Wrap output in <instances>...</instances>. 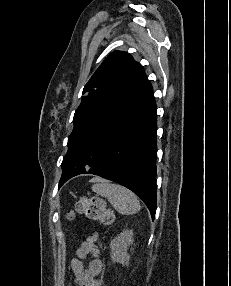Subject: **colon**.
I'll return each instance as SVG.
<instances>
[{
	"mask_svg": "<svg viewBox=\"0 0 231 286\" xmlns=\"http://www.w3.org/2000/svg\"><path fill=\"white\" fill-rule=\"evenodd\" d=\"M76 213L105 225L114 221V213L107 207L102 198L96 196L81 197L75 206V210L67 213V218L73 219Z\"/></svg>",
	"mask_w": 231,
	"mask_h": 286,
	"instance_id": "1",
	"label": "colon"
}]
</instances>
